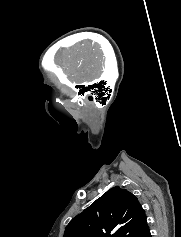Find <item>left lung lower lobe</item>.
Instances as JSON below:
<instances>
[{"instance_id": "1", "label": "left lung lower lobe", "mask_w": 181, "mask_h": 237, "mask_svg": "<svg viewBox=\"0 0 181 237\" xmlns=\"http://www.w3.org/2000/svg\"><path fill=\"white\" fill-rule=\"evenodd\" d=\"M139 237H151L149 227Z\"/></svg>"}]
</instances>
